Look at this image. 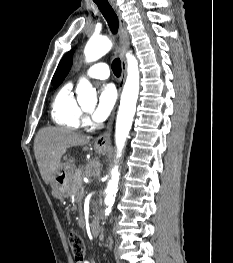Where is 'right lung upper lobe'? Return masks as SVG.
I'll use <instances>...</instances> for the list:
<instances>
[{"mask_svg": "<svg viewBox=\"0 0 233 263\" xmlns=\"http://www.w3.org/2000/svg\"><path fill=\"white\" fill-rule=\"evenodd\" d=\"M71 64L72 62H70L66 68L61 72V74L58 76V78L56 79L55 83H54V88L57 87L65 78V76L68 74L70 68H71Z\"/></svg>", "mask_w": 233, "mask_h": 263, "instance_id": "right-lung-upper-lobe-1", "label": "right lung upper lobe"}]
</instances>
